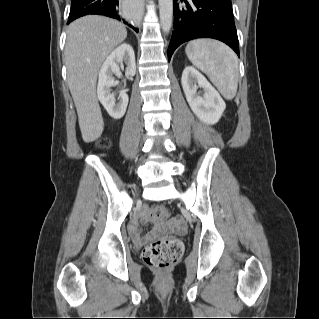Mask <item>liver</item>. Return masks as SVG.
<instances>
[{"instance_id": "1", "label": "liver", "mask_w": 319, "mask_h": 319, "mask_svg": "<svg viewBox=\"0 0 319 319\" xmlns=\"http://www.w3.org/2000/svg\"><path fill=\"white\" fill-rule=\"evenodd\" d=\"M126 37L124 24L99 15L79 18L67 29L64 51L67 82L86 143L97 140L104 129L96 96L99 69L108 54Z\"/></svg>"}]
</instances>
